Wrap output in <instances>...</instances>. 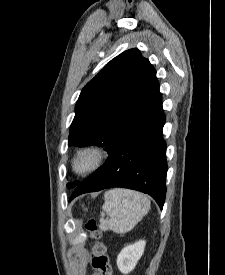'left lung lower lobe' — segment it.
Segmentation results:
<instances>
[{
    "label": "left lung lower lobe",
    "mask_w": 225,
    "mask_h": 275,
    "mask_svg": "<svg viewBox=\"0 0 225 275\" xmlns=\"http://www.w3.org/2000/svg\"><path fill=\"white\" fill-rule=\"evenodd\" d=\"M164 123L160 94L109 152L106 163L77 185L70 201L86 192L125 187L149 194L162 209L167 172Z\"/></svg>",
    "instance_id": "obj_1"
}]
</instances>
